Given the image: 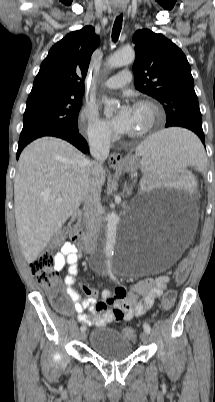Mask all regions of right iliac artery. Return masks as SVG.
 Returning <instances> with one entry per match:
<instances>
[{
  "mask_svg": "<svg viewBox=\"0 0 215 402\" xmlns=\"http://www.w3.org/2000/svg\"><path fill=\"white\" fill-rule=\"evenodd\" d=\"M80 330H81V331H85V330H86V326H85V325H82V326L80 327Z\"/></svg>",
  "mask_w": 215,
  "mask_h": 402,
  "instance_id": "obj_1",
  "label": "right iliac artery"
}]
</instances>
